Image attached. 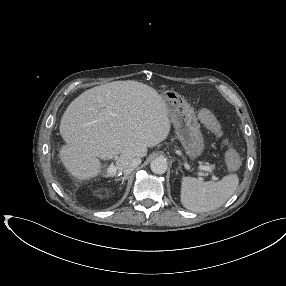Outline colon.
Here are the masks:
<instances>
[{"mask_svg": "<svg viewBox=\"0 0 286 286\" xmlns=\"http://www.w3.org/2000/svg\"><path fill=\"white\" fill-rule=\"evenodd\" d=\"M201 122L213 133H220V126L217 119L209 110H201L199 113ZM239 157L236 152L230 150L227 152V167L229 170H236L239 167Z\"/></svg>", "mask_w": 286, "mask_h": 286, "instance_id": "5ec220e1", "label": "colon"}]
</instances>
